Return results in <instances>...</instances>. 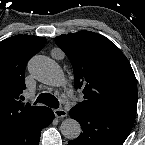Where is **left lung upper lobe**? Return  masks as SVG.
Instances as JSON below:
<instances>
[{"label":"left lung upper lobe","mask_w":145,"mask_h":145,"mask_svg":"<svg viewBox=\"0 0 145 145\" xmlns=\"http://www.w3.org/2000/svg\"><path fill=\"white\" fill-rule=\"evenodd\" d=\"M55 43L73 66L75 87L83 89L85 100L75 108L136 114V78L128 59L115 44L90 31L58 36Z\"/></svg>","instance_id":"5c2ea615"}]
</instances>
